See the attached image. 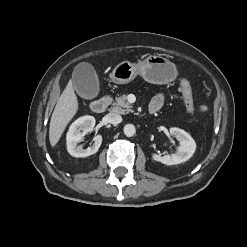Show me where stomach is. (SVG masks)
I'll use <instances>...</instances> for the list:
<instances>
[{
  "label": "stomach",
  "instance_id": "stomach-1",
  "mask_svg": "<svg viewBox=\"0 0 247 247\" xmlns=\"http://www.w3.org/2000/svg\"><path fill=\"white\" fill-rule=\"evenodd\" d=\"M137 75L152 84H167L177 76L175 65L160 55H148L138 63L123 61L119 63L110 74L111 80L116 84L131 82Z\"/></svg>",
  "mask_w": 247,
  "mask_h": 247
}]
</instances>
